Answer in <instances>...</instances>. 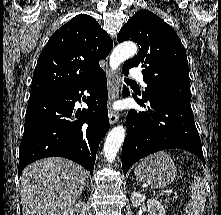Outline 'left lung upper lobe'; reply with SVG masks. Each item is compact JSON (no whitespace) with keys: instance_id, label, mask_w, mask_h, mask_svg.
<instances>
[{"instance_id":"1","label":"left lung upper lobe","mask_w":221,"mask_h":215,"mask_svg":"<svg viewBox=\"0 0 221 215\" xmlns=\"http://www.w3.org/2000/svg\"><path fill=\"white\" fill-rule=\"evenodd\" d=\"M119 42L132 40L138 54L123 69L142 67L147 84L142 99L158 96L190 104L188 61L185 49L172 27L147 10L138 11L121 28Z\"/></svg>"}]
</instances>
